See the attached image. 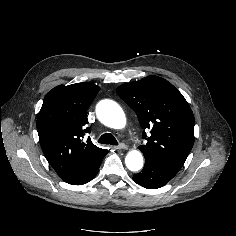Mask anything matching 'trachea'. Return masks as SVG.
<instances>
[{
	"mask_svg": "<svg viewBox=\"0 0 236 236\" xmlns=\"http://www.w3.org/2000/svg\"><path fill=\"white\" fill-rule=\"evenodd\" d=\"M99 143L118 145L116 138L111 133H105L99 138Z\"/></svg>",
	"mask_w": 236,
	"mask_h": 236,
	"instance_id": "trachea-1",
	"label": "trachea"
}]
</instances>
